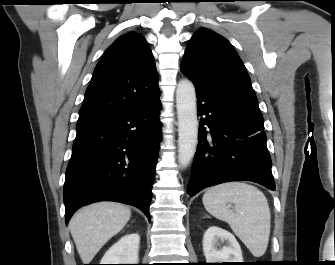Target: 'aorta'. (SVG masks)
I'll return each mask as SVG.
<instances>
[{"label":"aorta","mask_w":335,"mask_h":265,"mask_svg":"<svg viewBox=\"0 0 335 265\" xmlns=\"http://www.w3.org/2000/svg\"><path fill=\"white\" fill-rule=\"evenodd\" d=\"M178 116V162L186 167L196 152L198 142V120L196 93L193 83L181 80L176 89Z\"/></svg>","instance_id":"aorta-1"}]
</instances>
